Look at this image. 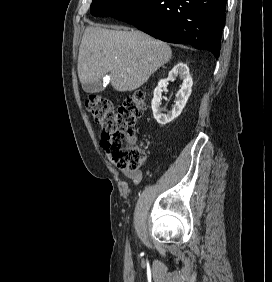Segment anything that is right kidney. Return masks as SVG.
I'll return each instance as SVG.
<instances>
[{
  "mask_svg": "<svg viewBox=\"0 0 272 282\" xmlns=\"http://www.w3.org/2000/svg\"><path fill=\"white\" fill-rule=\"evenodd\" d=\"M177 76L183 80V83L176 95L177 100L173 109L168 114H163L160 110L162 88L167 86L168 81H174ZM192 85L193 80L189 68L187 64L182 62L174 66V68L169 72L167 79H161L158 82V86L154 90L151 106L154 118L160 125H166L167 123H170L181 114L188 101V98L191 95Z\"/></svg>",
  "mask_w": 272,
  "mask_h": 282,
  "instance_id": "ca27d5eb",
  "label": "right kidney"
}]
</instances>
